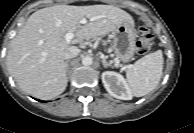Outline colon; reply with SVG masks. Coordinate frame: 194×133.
I'll use <instances>...</instances> for the list:
<instances>
[{"instance_id":"obj_1","label":"colon","mask_w":194,"mask_h":133,"mask_svg":"<svg viewBox=\"0 0 194 133\" xmlns=\"http://www.w3.org/2000/svg\"><path fill=\"white\" fill-rule=\"evenodd\" d=\"M140 38L137 42V51L139 54H146L153 45V33L144 24H139Z\"/></svg>"}]
</instances>
